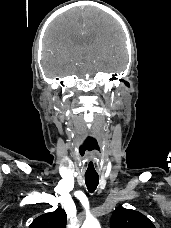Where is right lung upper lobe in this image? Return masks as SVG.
Instances as JSON below:
<instances>
[{
    "label": "right lung upper lobe",
    "instance_id": "right-lung-upper-lobe-1",
    "mask_svg": "<svg viewBox=\"0 0 171 228\" xmlns=\"http://www.w3.org/2000/svg\"><path fill=\"white\" fill-rule=\"evenodd\" d=\"M67 215L62 208L37 217L29 228H66Z\"/></svg>",
    "mask_w": 171,
    "mask_h": 228
}]
</instances>
